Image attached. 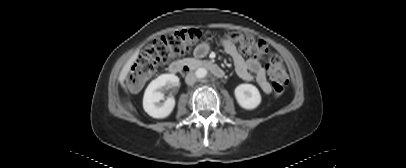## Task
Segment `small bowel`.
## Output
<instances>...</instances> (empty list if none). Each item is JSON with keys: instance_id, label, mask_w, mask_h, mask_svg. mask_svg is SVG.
<instances>
[{"instance_id": "c3829d8e", "label": "small bowel", "mask_w": 406, "mask_h": 168, "mask_svg": "<svg viewBox=\"0 0 406 168\" xmlns=\"http://www.w3.org/2000/svg\"><path fill=\"white\" fill-rule=\"evenodd\" d=\"M220 43L225 52L233 59L237 75L245 81L255 80L265 94H270L271 86L267 80L266 70L259 60L255 58H244L236 45L229 39H221ZM208 50L209 45L207 43H202L195 49L194 53L196 57L201 58L208 53Z\"/></svg>"}]
</instances>
